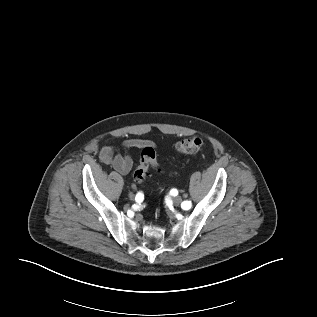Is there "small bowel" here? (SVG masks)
<instances>
[{"mask_svg": "<svg viewBox=\"0 0 317 317\" xmlns=\"http://www.w3.org/2000/svg\"><path fill=\"white\" fill-rule=\"evenodd\" d=\"M148 142L142 139H128L122 143L123 152H120L113 146H103L99 153L102 163L111 166L120 174H127L133 166V159L129 151L135 148H141Z\"/></svg>", "mask_w": 317, "mask_h": 317, "instance_id": "1", "label": "small bowel"}]
</instances>
